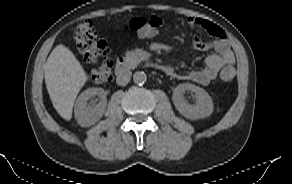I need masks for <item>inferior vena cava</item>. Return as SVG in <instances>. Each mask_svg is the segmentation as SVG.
<instances>
[{
	"instance_id": "inferior-vena-cava-1",
	"label": "inferior vena cava",
	"mask_w": 292,
	"mask_h": 184,
	"mask_svg": "<svg viewBox=\"0 0 292 184\" xmlns=\"http://www.w3.org/2000/svg\"><path fill=\"white\" fill-rule=\"evenodd\" d=\"M131 71L128 69L119 71L117 73V78H116V82L118 85L120 86H125L126 84L129 83L130 79H131Z\"/></svg>"
}]
</instances>
